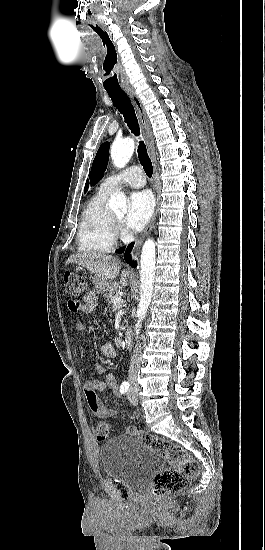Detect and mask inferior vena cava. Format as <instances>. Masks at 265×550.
<instances>
[{
  "mask_svg": "<svg viewBox=\"0 0 265 550\" xmlns=\"http://www.w3.org/2000/svg\"><path fill=\"white\" fill-rule=\"evenodd\" d=\"M142 363L141 345H136L131 357L128 380L131 384L137 383V374Z\"/></svg>",
  "mask_w": 265,
  "mask_h": 550,
  "instance_id": "inferior-vena-cava-1",
  "label": "inferior vena cava"
}]
</instances>
